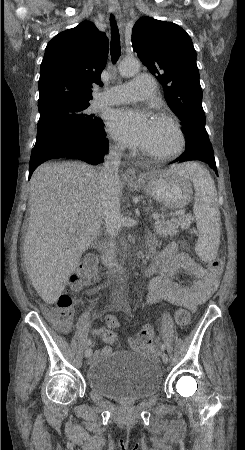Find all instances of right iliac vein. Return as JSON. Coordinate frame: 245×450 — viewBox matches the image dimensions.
<instances>
[{
  "label": "right iliac vein",
  "instance_id": "1",
  "mask_svg": "<svg viewBox=\"0 0 245 450\" xmlns=\"http://www.w3.org/2000/svg\"><path fill=\"white\" fill-rule=\"evenodd\" d=\"M91 354H92V349L91 348H87L85 350V357L89 358V357H91Z\"/></svg>",
  "mask_w": 245,
  "mask_h": 450
}]
</instances>
